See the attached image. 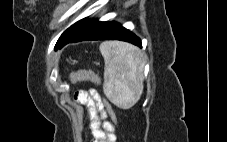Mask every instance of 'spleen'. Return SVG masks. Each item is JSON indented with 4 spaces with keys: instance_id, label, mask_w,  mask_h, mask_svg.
I'll return each instance as SVG.
<instances>
[{
    "instance_id": "obj_1",
    "label": "spleen",
    "mask_w": 227,
    "mask_h": 142,
    "mask_svg": "<svg viewBox=\"0 0 227 142\" xmlns=\"http://www.w3.org/2000/svg\"><path fill=\"white\" fill-rule=\"evenodd\" d=\"M103 91L116 106L128 109L138 102L143 92L144 54L135 46L118 41L103 42Z\"/></svg>"
}]
</instances>
